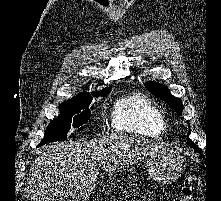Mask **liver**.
<instances>
[{
    "label": "liver",
    "instance_id": "6515ba94",
    "mask_svg": "<svg viewBox=\"0 0 221 201\" xmlns=\"http://www.w3.org/2000/svg\"><path fill=\"white\" fill-rule=\"evenodd\" d=\"M172 150L163 144L123 135L45 146L30 169L24 197L26 201H54L63 184L77 188L96 185L98 165L104 172L115 171L156 152Z\"/></svg>",
    "mask_w": 221,
    "mask_h": 201
}]
</instances>
